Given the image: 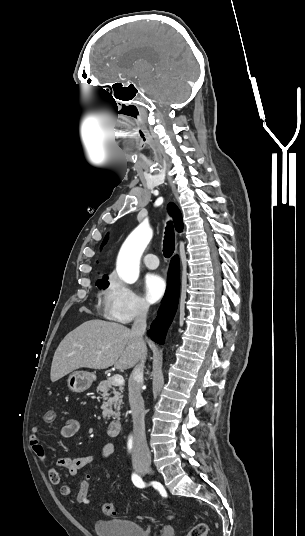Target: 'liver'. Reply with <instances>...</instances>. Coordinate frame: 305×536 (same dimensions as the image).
Returning a JSON list of instances; mask_svg holds the SVG:
<instances>
[{"instance_id":"obj_1","label":"liver","mask_w":305,"mask_h":536,"mask_svg":"<svg viewBox=\"0 0 305 536\" xmlns=\"http://www.w3.org/2000/svg\"><path fill=\"white\" fill-rule=\"evenodd\" d=\"M145 352L142 338H136L129 328L114 322L89 320L69 332L59 344L51 364V382L79 368L106 370L114 366L117 370H129Z\"/></svg>"}]
</instances>
